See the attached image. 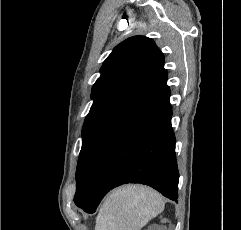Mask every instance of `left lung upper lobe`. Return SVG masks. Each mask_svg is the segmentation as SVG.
Here are the masks:
<instances>
[{
	"instance_id": "1",
	"label": "left lung upper lobe",
	"mask_w": 241,
	"mask_h": 230,
	"mask_svg": "<svg viewBox=\"0 0 241 230\" xmlns=\"http://www.w3.org/2000/svg\"><path fill=\"white\" fill-rule=\"evenodd\" d=\"M92 88L93 105L83 129L76 170L78 203L83 183L99 150L134 119L166 86L164 56L154 41L134 36L117 45L104 61Z\"/></svg>"
}]
</instances>
